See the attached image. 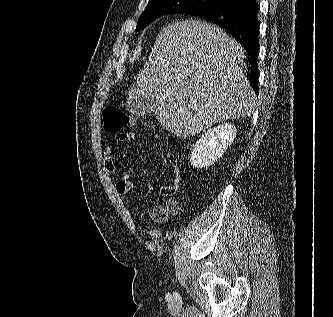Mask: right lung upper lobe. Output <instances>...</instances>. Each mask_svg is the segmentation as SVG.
<instances>
[{
  "instance_id": "cb5924a9",
  "label": "right lung upper lobe",
  "mask_w": 333,
  "mask_h": 317,
  "mask_svg": "<svg viewBox=\"0 0 333 317\" xmlns=\"http://www.w3.org/2000/svg\"><path fill=\"white\" fill-rule=\"evenodd\" d=\"M228 2H234V1H237V0H227Z\"/></svg>"
}]
</instances>
